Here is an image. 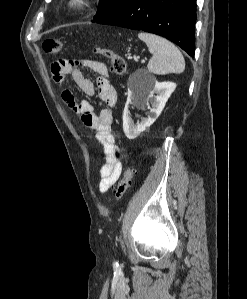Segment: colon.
<instances>
[{"label": "colon", "mask_w": 247, "mask_h": 299, "mask_svg": "<svg viewBox=\"0 0 247 299\" xmlns=\"http://www.w3.org/2000/svg\"><path fill=\"white\" fill-rule=\"evenodd\" d=\"M61 48L62 43L57 38H47L43 41V49L48 54L56 55L61 51ZM94 52L110 61L112 70L115 74L124 75L126 73V60L117 52L111 49H105L100 47L94 48ZM134 173L135 168L132 166H128L125 169L123 177L117 183L116 188L114 190V195L117 200H121L125 196L127 190L131 185Z\"/></svg>", "instance_id": "5ec220e1"}]
</instances>
